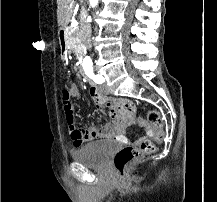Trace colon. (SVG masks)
I'll return each instance as SVG.
<instances>
[{"mask_svg":"<svg viewBox=\"0 0 217 202\" xmlns=\"http://www.w3.org/2000/svg\"><path fill=\"white\" fill-rule=\"evenodd\" d=\"M57 96H61V104L65 115V121L67 126L72 129L74 124L73 113L70 107L71 103V89L67 85L63 86L61 91L56 92ZM150 121L146 122V118H137L139 126H150L154 124L158 128H163V120L158 111L152 110L147 115ZM156 142H161V138L164 137L163 133H156ZM155 151V143L153 141L146 140L142 143L141 147L135 148L133 146H124L119 152H117L113 158V165L118 170L119 177H126V168L131 163L138 161L144 155H150Z\"/></svg>","mask_w":217,"mask_h":202,"instance_id":"5ec220e1","label":"colon"}]
</instances>
